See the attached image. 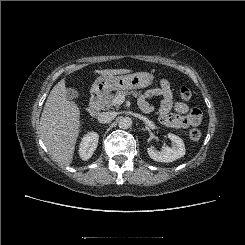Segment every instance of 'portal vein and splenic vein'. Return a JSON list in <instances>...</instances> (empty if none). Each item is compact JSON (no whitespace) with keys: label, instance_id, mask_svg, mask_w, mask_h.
Listing matches in <instances>:
<instances>
[{"label":"portal vein and splenic vein","instance_id":"1","mask_svg":"<svg viewBox=\"0 0 245 245\" xmlns=\"http://www.w3.org/2000/svg\"><path fill=\"white\" fill-rule=\"evenodd\" d=\"M125 101V96H123V95H119V96H117L115 99H114V104H116V105H120V104H122L123 102Z\"/></svg>","mask_w":245,"mask_h":245}]
</instances>
